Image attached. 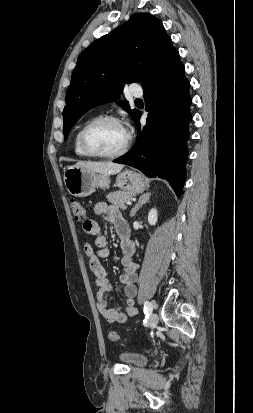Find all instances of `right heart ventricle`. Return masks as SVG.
<instances>
[{"label": "right heart ventricle", "mask_w": 253, "mask_h": 413, "mask_svg": "<svg viewBox=\"0 0 253 413\" xmlns=\"http://www.w3.org/2000/svg\"><path fill=\"white\" fill-rule=\"evenodd\" d=\"M91 119H86L84 120L82 123L79 124V126L76 128V131L74 133V137H73V147H74V152L77 156L79 157H88L89 155H87L81 148L80 146V141H79V137H80V133L82 128L90 121Z\"/></svg>", "instance_id": "e07e8e85"}]
</instances>
